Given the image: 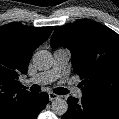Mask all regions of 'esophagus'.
Listing matches in <instances>:
<instances>
[{
  "instance_id": "1",
  "label": "esophagus",
  "mask_w": 119,
  "mask_h": 119,
  "mask_svg": "<svg viewBox=\"0 0 119 119\" xmlns=\"http://www.w3.org/2000/svg\"><path fill=\"white\" fill-rule=\"evenodd\" d=\"M59 98V95L55 94V93H49V99L52 101V100H55V99H58Z\"/></svg>"
}]
</instances>
